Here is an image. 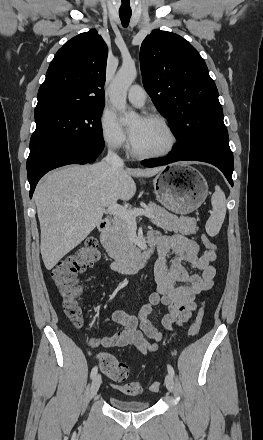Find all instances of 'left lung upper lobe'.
Masks as SVG:
<instances>
[{"mask_svg": "<svg viewBox=\"0 0 263 440\" xmlns=\"http://www.w3.org/2000/svg\"><path fill=\"white\" fill-rule=\"evenodd\" d=\"M140 66L145 89L179 141L176 150L191 156L229 145L217 87L188 41L153 30L141 45Z\"/></svg>", "mask_w": 263, "mask_h": 440, "instance_id": "5c2ea615", "label": "left lung upper lobe"}]
</instances>
